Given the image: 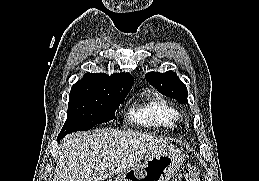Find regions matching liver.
<instances>
[{
	"instance_id": "liver-1",
	"label": "liver",
	"mask_w": 259,
	"mask_h": 181,
	"mask_svg": "<svg viewBox=\"0 0 259 181\" xmlns=\"http://www.w3.org/2000/svg\"><path fill=\"white\" fill-rule=\"evenodd\" d=\"M167 147L166 140L133 131L71 134L61 142L53 181H103Z\"/></svg>"
}]
</instances>
